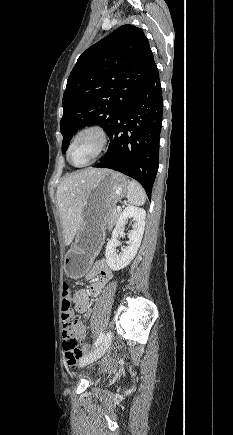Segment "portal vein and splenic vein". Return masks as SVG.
<instances>
[{
	"label": "portal vein and splenic vein",
	"mask_w": 233,
	"mask_h": 435,
	"mask_svg": "<svg viewBox=\"0 0 233 435\" xmlns=\"http://www.w3.org/2000/svg\"><path fill=\"white\" fill-rule=\"evenodd\" d=\"M117 210L120 211V210H121V207L118 206V207H117Z\"/></svg>",
	"instance_id": "18ae733b"
}]
</instances>
